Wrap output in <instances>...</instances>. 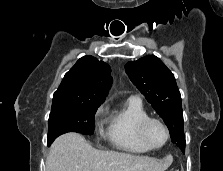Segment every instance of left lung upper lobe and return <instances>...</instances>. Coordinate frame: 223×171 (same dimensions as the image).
I'll use <instances>...</instances> for the list:
<instances>
[{
    "mask_svg": "<svg viewBox=\"0 0 223 171\" xmlns=\"http://www.w3.org/2000/svg\"><path fill=\"white\" fill-rule=\"evenodd\" d=\"M134 85L167 125L172 142L185 152L181 95L173 73L154 55L125 65Z\"/></svg>",
    "mask_w": 223,
    "mask_h": 171,
    "instance_id": "5c2ea615",
    "label": "left lung upper lobe"
}]
</instances>
